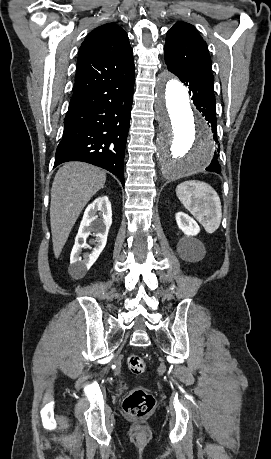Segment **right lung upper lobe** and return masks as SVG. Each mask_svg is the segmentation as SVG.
I'll return each mask as SVG.
<instances>
[{
    "label": "right lung upper lobe",
    "instance_id": "1",
    "mask_svg": "<svg viewBox=\"0 0 271 459\" xmlns=\"http://www.w3.org/2000/svg\"><path fill=\"white\" fill-rule=\"evenodd\" d=\"M133 50L127 33L115 23L95 28L80 47L70 104L122 76L134 73Z\"/></svg>",
    "mask_w": 271,
    "mask_h": 459
}]
</instances>
